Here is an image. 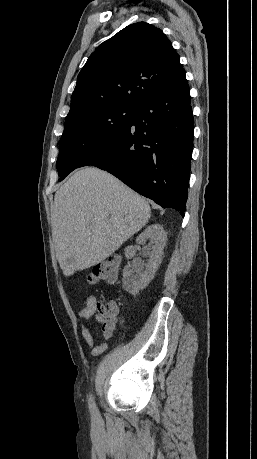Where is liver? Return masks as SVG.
Masks as SVG:
<instances>
[{"mask_svg":"<svg viewBox=\"0 0 257 459\" xmlns=\"http://www.w3.org/2000/svg\"><path fill=\"white\" fill-rule=\"evenodd\" d=\"M150 217L148 202L111 174L95 167L75 172L56 192L52 211V237L64 276L109 257Z\"/></svg>","mask_w":257,"mask_h":459,"instance_id":"liver-1","label":"liver"}]
</instances>
